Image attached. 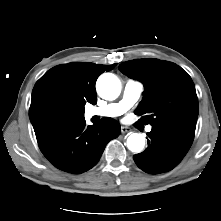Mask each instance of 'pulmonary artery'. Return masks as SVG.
<instances>
[{
  "mask_svg": "<svg viewBox=\"0 0 221 221\" xmlns=\"http://www.w3.org/2000/svg\"><path fill=\"white\" fill-rule=\"evenodd\" d=\"M144 86L141 82L128 80L123 89V95L120 101L107 104L101 107H93L88 109L89 117H117L129 110L141 97ZM151 126H147L146 130L150 132Z\"/></svg>",
  "mask_w": 221,
  "mask_h": 221,
  "instance_id": "e3ab8cb5",
  "label": "pulmonary artery"
}]
</instances>
